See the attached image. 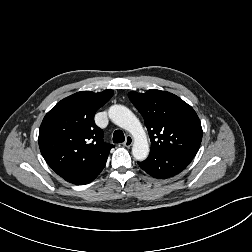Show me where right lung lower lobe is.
<instances>
[{"instance_id":"98d812e1","label":"right lung lower lobe","mask_w":252,"mask_h":252,"mask_svg":"<svg viewBox=\"0 0 252 252\" xmlns=\"http://www.w3.org/2000/svg\"><path fill=\"white\" fill-rule=\"evenodd\" d=\"M105 163L92 165L73 173L63 176V178L73 184L83 185L93 181L105 167Z\"/></svg>"}]
</instances>
